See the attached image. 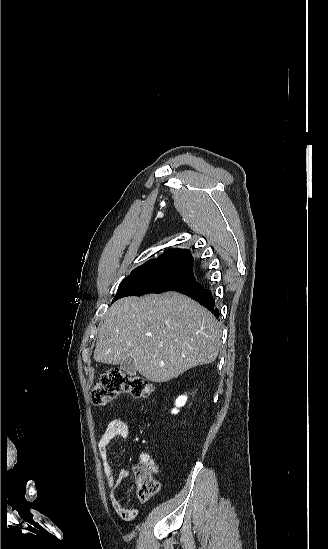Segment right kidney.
<instances>
[{"mask_svg":"<svg viewBox=\"0 0 328 549\" xmlns=\"http://www.w3.org/2000/svg\"><path fill=\"white\" fill-rule=\"evenodd\" d=\"M186 401H187L186 395H180V397L176 399L175 401L176 409H172L173 415H177V413H179L178 411L179 407H184Z\"/></svg>","mask_w":328,"mask_h":549,"instance_id":"1","label":"right kidney"}]
</instances>
